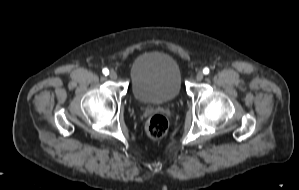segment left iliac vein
<instances>
[{
	"mask_svg": "<svg viewBox=\"0 0 299 190\" xmlns=\"http://www.w3.org/2000/svg\"><path fill=\"white\" fill-rule=\"evenodd\" d=\"M203 77H204L203 72L202 71H198L197 74H196V79L198 81H201L203 79Z\"/></svg>",
	"mask_w": 299,
	"mask_h": 190,
	"instance_id": "4c4485c4",
	"label": "left iliac vein"
}]
</instances>
